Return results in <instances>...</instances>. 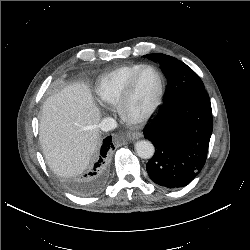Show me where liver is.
<instances>
[{
	"instance_id": "liver-1",
	"label": "liver",
	"mask_w": 250,
	"mask_h": 250,
	"mask_svg": "<svg viewBox=\"0 0 250 250\" xmlns=\"http://www.w3.org/2000/svg\"><path fill=\"white\" fill-rule=\"evenodd\" d=\"M99 109L90 89L74 83L48 97L40 118L39 140L49 167L60 176L83 172L98 140Z\"/></svg>"
}]
</instances>
